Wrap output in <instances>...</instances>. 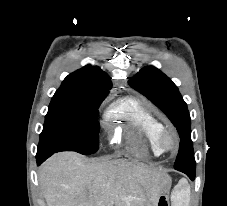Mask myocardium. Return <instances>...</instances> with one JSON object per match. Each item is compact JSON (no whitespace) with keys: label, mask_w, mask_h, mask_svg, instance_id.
<instances>
[{"label":"myocardium","mask_w":227,"mask_h":206,"mask_svg":"<svg viewBox=\"0 0 227 206\" xmlns=\"http://www.w3.org/2000/svg\"><path fill=\"white\" fill-rule=\"evenodd\" d=\"M156 144L161 153L174 152L178 148L179 138L173 129L163 127L157 135Z\"/></svg>","instance_id":"1"}]
</instances>
